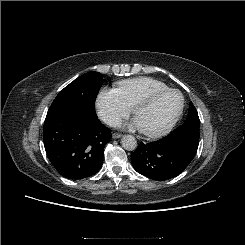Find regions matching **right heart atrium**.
Segmentation results:
<instances>
[{"instance_id":"1","label":"right heart atrium","mask_w":245,"mask_h":245,"mask_svg":"<svg viewBox=\"0 0 245 245\" xmlns=\"http://www.w3.org/2000/svg\"><path fill=\"white\" fill-rule=\"evenodd\" d=\"M96 109L100 118L109 126L117 125L126 118L131 109L124 103L116 89L102 88L96 98Z\"/></svg>"}]
</instances>
